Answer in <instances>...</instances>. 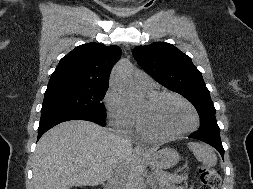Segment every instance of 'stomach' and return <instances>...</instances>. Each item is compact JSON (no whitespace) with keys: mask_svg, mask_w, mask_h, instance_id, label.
Wrapping results in <instances>:
<instances>
[{"mask_svg":"<svg viewBox=\"0 0 253 189\" xmlns=\"http://www.w3.org/2000/svg\"><path fill=\"white\" fill-rule=\"evenodd\" d=\"M179 159L180 157L176 150L164 148L157 152H151L144 160L153 169L163 170L175 166Z\"/></svg>","mask_w":253,"mask_h":189,"instance_id":"stomach-1","label":"stomach"}]
</instances>
